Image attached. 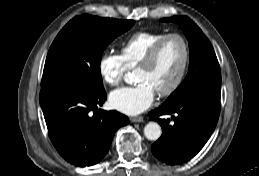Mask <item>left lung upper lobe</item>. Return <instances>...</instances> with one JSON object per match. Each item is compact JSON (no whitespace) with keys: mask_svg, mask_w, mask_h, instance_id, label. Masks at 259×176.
<instances>
[{"mask_svg":"<svg viewBox=\"0 0 259 176\" xmlns=\"http://www.w3.org/2000/svg\"><path fill=\"white\" fill-rule=\"evenodd\" d=\"M163 21L179 23L188 38L190 48L188 74L181 85L163 104H176L197 95L211 96L220 99V66L208 38L187 16L164 18Z\"/></svg>","mask_w":259,"mask_h":176,"instance_id":"left-lung-upper-lobe-1","label":"left lung upper lobe"}]
</instances>
